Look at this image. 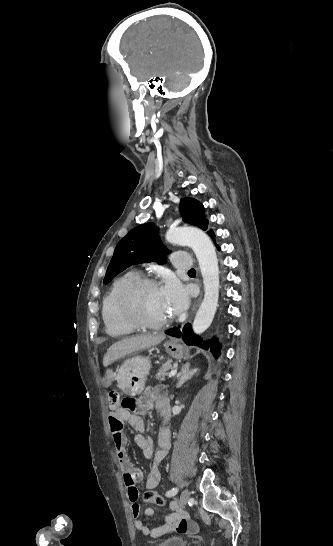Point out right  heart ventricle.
<instances>
[{
	"instance_id": "1",
	"label": "right heart ventricle",
	"mask_w": 333,
	"mask_h": 546,
	"mask_svg": "<svg viewBox=\"0 0 333 546\" xmlns=\"http://www.w3.org/2000/svg\"><path fill=\"white\" fill-rule=\"evenodd\" d=\"M139 278L134 271H129L113 281L102 302V319L107 334L122 337L133 333L136 328L121 314L119 297L122 290L133 280Z\"/></svg>"
}]
</instances>
